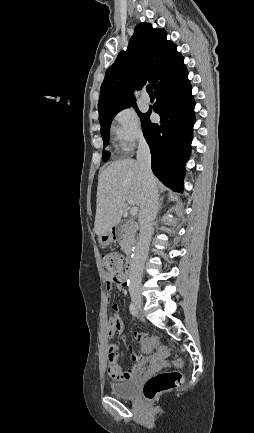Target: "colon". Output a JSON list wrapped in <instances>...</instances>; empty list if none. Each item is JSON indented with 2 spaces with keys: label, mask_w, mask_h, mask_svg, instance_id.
<instances>
[{
  "label": "colon",
  "mask_w": 254,
  "mask_h": 433,
  "mask_svg": "<svg viewBox=\"0 0 254 433\" xmlns=\"http://www.w3.org/2000/svg\"><path fill=\"white\" fill-rule=\"evenodd\" d=\"M102 262L106 270L108 281L119 282L126 280L127 271L124 258L116 252L102 254ZM154 342V340H150ZM182 383V375L179 371H163L150 377L143 388L144 397L151 401L160 394L173 390Z\"/></svg>",
  "instance_id": "colon-1"
}]
</instances>
